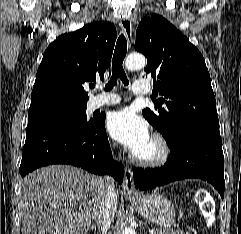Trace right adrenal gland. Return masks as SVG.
<instances>
[{
  "label": "right adrenal gland",
  "instance_id": "2a0ac1e0",
  "mask_svg": "<svg viewBox=\"0 0 241 234\" xmlns=\"http://www.w3.org/2000/svg\"><path fill=\"white\" fill-rule=\"evenodd\" d=\"M90 229H91L92 231L94 230V232H96V227H93V226H92Z\"/></svg>",
  "mask_w": 241,
  "mask_h": 234
}]
</instances>
